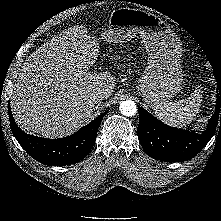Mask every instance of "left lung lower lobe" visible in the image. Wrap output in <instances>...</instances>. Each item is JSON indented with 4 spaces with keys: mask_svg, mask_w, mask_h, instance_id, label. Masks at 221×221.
I'll use <instances>...</instances> for the list:
<instances>
[{
    "mask_svg": "<svg viewBox=\"0 0 221 221\" xmlns=\"http://www.w3.org/2000/svg\"><path fill=\"white\" fill-rule=\"evenodd\" d=\"M216 109L203 133L170 127L141 107L137 134L139 142L150 157L165 162H181L193 158L214 135L216 128H221L219 117L221 105V86L218 85ZM220 123V126H219Z\"/></svg>",
    "mask_w": 221,
    "mask_h": 221,
    "instance_id": "obj_1",
    "label": "left lung lower lobe"
}]
</instances>
